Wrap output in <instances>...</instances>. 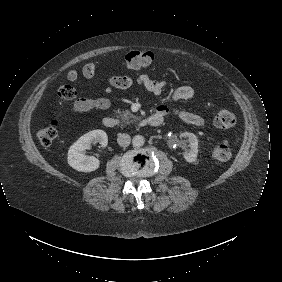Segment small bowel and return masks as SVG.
<instances>
[{"label": "small bowel", "mask_w": 282, "mask_h": 282, "mask_svg": "<svg viewBox=\"0 0 282 282\" xmlns=\"http://www.w3.org/2000/svg\"><path fill=\"white\" fill-rule=\"evenodd\" d=\"M82 75L87 79H93L97 75V66L93 62L86 63L82 68ZM67 79L74 83H79V73L72 69L67 73ZM105 79L109 84V88L104 89V93L110 92L111 88L116 89H129L131 87H142L149 91L154 96H161L164 92L165 82L162 80L152 79L149 76L142 74L135 79L127 76H119L113 74L105 75ZM195 96V90L191 86H181L177 88L172 96V102H179L183 100H189ZM111 106L110 99L106 97L97 98H79L77 99L72 107L75 112H88L91 110H106ZM172 113L182 122L193 125L196 127H204L206 120L203 116L174 107ZM168 114V108L165 106H159L153 115H159L163 119Z\"/></svg>", "instance_id": "1"}]
</instances>
